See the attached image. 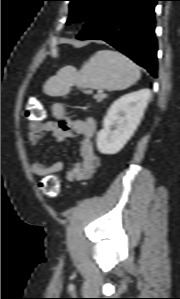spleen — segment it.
<instances>
[{
	"label": "spleen",
	"instance_id": "3e777b00",
	"mask_svg": "<svg viewBox=\"0 0 180 299\" xmlns=\"http://www.w3.org/2000/svg\"><path fill=\"white\" fill-rule=\"evenodd\" d=\"M140 78L139 67L118 51L100 50L77 71L72 66L60 69L45 86L50 96H64L72 86L79 89L124 90Z\"/></svg>",
	"mask_w": 180,
	"mask_h": 299
}]
</instances>
